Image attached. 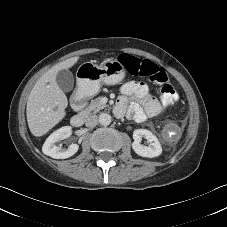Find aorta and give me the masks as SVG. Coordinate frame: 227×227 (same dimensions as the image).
<instances>
[{
  "mask_svg": "<svg viewBox=\"0 0 227 227\" xmlns=\"http://www.w3.org/2000/svg\"><path fill=\"white\" fill-rule=\"evenodd\" d=\"M112 121V118H111V115L108 114V113H101L99 115V123L101 125H104V126H107L111 123Z\"/></svg>",
  "mask_w": 227,
  "mask_h": 227,
  "instance_id": "aorta-1",
  "label": "aorta"
}]
</instances>
